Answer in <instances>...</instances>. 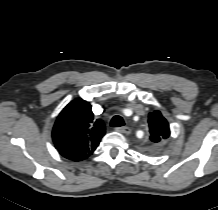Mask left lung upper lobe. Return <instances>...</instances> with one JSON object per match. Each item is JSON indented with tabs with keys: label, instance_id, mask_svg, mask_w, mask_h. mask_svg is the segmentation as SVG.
I'll return each mask as SVG.
<instances>
[{
	"label": "left lung upper lobe",
	"instance_id": "left-lung-upper-lobe-1",
	"mask_svg": "<svg viewBox=\"0 0 218 210\" xmlns=\"http://www.w3.org/2000/svg\"><path fill=\"white\" fill-rule=\"evenodd\" d=\"M149 129L150 140L154 143H158L167 139L170 135L169 124L167 120L162 116L160 111H154L149 114Z\"/></svg>",
	"mask_w": 218,
	"mask_h": 210
}]
</instances>
